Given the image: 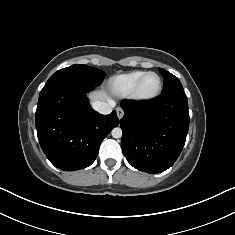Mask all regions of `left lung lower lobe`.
I'll use <instances>...</instances> for the list:
<instances>
[{
    "label": "left lung lower lobe",
    "mask_w": 235,
    "mask_h": 235,
    "mask_svg": "<svg viewBox=\"0 0 235 235\" xmlns=\"http://www.w3.org/2000/svg\"><path fill=\"white\" fill-rule=\"evenodd\" d=\"M122 150L134 168L160 173L179 157L189 128L188 102L183 90L162 93L156 99L122 101Z\"/></svg>",
    "instance_id": "1"
}]
</instances>
